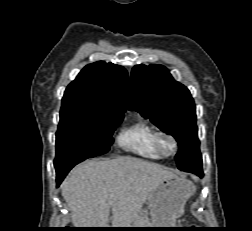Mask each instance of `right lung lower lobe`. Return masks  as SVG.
<instances>
[{"label":"right lung lower lobe","instance_id":"right-lung-lower-lobe-1","mask_svg":"<svg viewBox=\"0 0 252 231\" xmlns=\"http://www.w3.org/2000/svg\"><path fill=\"white\" fill-rule=\"evenodd\" d=\"M83 160H79L73 163H70L68 165L56 168V173H57V186L60 185V183L62 182V180L65 178V176L67 175V173L78 163L82 162Z\"/></svg>","mask_w":252,"mask_h":231}]
</instances>
